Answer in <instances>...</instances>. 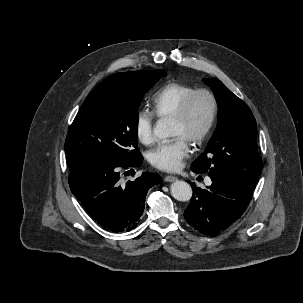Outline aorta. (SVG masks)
<instances>
[{
  "instance_id": "762f6f07",
  "label": "aorta",
  "mask_w": 303,
  "mask_h": 303,
  "mask_svg": "<svg viewBox=\"0 0 303 303\" xmlns=\"http://www.w3.org/2000/svg\"><path fill=\"white\" fill-rule=\"evenodd\" d=\"M154 135L159 139L174 136V129L168 120H159L154 128ZM192 188L185 181H175L171 186V195L178 201H189L192 197Z\"/></svg>"
}]
</instances>
